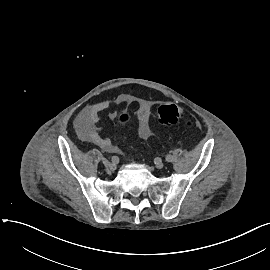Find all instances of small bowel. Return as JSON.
Instances as JSON below:
<instances>
[{"label": "small bowel", "mask_w": 270, "mask_h": 270, "mask_svg": "<svg viewBox=\"0 0 270 270\" xmlns=\"http://www.w3.org/2000/svg\"><path fill=\"white\" fill-rule=\"evenodd\" d=\"M111 101L103 99L92 103L84 108L75 121V126L81 140L93 143L106 152H114L116 146L107 137L102 136L96 126L99 114L106 111L111 106ZM116 105L125 110L130 104L131 99L127 95H120L115 100ZM116 112L109 113V118L114 119ZM138 127L137 134L141 139H147L151 135V104L148 101H142L137 110Z\"/></svg>", "instance_id": "1"}]
</instances>
